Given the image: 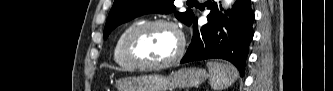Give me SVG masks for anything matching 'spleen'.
I'll return each instance as SVG.
<instances>
[{
  "instance_id": "spleen-1",
  "label": "spleen",
  "mask_w": 333,
  "mask_h": 91,
  "mask_svg": "<svg viewBox=\"0 0 333 91\" xmlns=\"http://www.w3.org/2000/svg\"><path fill=\"white\" fill-rule=\"evenodd\" d=\"M209 82L215 91L231 86L238 78V70L230 64L208 62Z\"/></svg>"
}]
</instances>
